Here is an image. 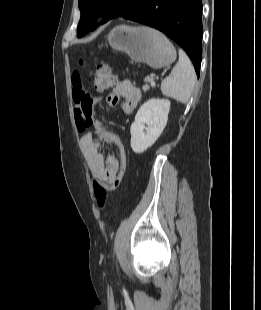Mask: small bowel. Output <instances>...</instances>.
Listing matches in <instances>:
<instances>
[{
	"label": "small bowel",
	"instance_id": "obj_1",
	"mask_svg": "<svg viewBox=\"0 0 261 310\" xmlns=\"http://www.w3.org/2000/svg\"><path fill=\"white\" fill-rule=\"evenodd\" d=\"M72 83V97L75 104L74 110L78 129L81 132L89 127L94 129L93 131L86 132L81 139V145L89 169L95 179L107 183L112 182L118 173L119 161L114 155L104 158L100 147L102 141L114 145V141H120V139L107 126L94 117V106L100 101V98L91 97L84 91L78 72L74 73ZM105 99L107 104L112 107L118 105L123 100L121 104L122 110L125 113H131L140 103L141 91L128 80H115L111 92L106 95Z\"/></svg>",
	"mask_w": 261,
	"mask_h": 310
}]
</instances>
